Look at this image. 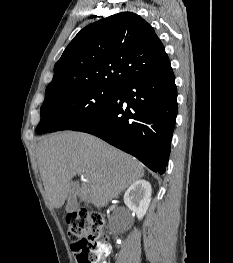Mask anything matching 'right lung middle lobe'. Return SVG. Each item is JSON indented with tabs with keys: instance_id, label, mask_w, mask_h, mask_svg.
<instances>
[{
	"instance_id": "dd1d6c3e",
	"label": "right lung middle lobe",
	"mask_w": 233,
	"mask_h": 263,
	"mask_svg": "<svg viewBox=\"0 0 233 263\" xmlns=\"http://www.w3.org/2000/svg\"><path fill=\"white\" fill-rule=\"evenodd\" d=\"M117 88L87 86L46 97L41 109L38 134L70 130L104 110Z\"/></svg>"
}]
</instances>
